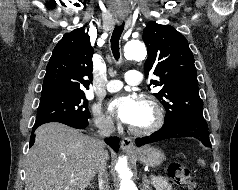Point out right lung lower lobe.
Returning a JSON list of instances; mask_svg holds the SVG:
<instances>
[{"instance_id": "obj_1", "label": "right lung lower lobe", "mask_w": 238, "mask_h": 190, "mask_svg": "<svg viewBox=\"0 0 238 190\" xmlns=\"http://www.w3.org/2000/svg\"><path fill=\"white\" fill-rule=\"evenodd\" d=\"M48 122H60V123H63V124H66L68 126L78 128V129H83V128H86L88 126V119H69V120H56V121H48ZM48 122H41V123H35L34 124V126L32 128V135H31V138H30V146H32L33 143H34L33 133L36 130V128L39 127L40 125H42L44 123H48ZM105 141L115 151L118 150L119 140H118L117 137L106 138Z\"/></svg>"}]
</instances>
